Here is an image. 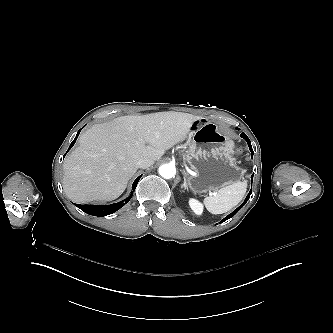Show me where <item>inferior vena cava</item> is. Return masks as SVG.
I'll return each instance as SVG.
<instances>
[{"instance_id":"inferior-vena-cava-1","label":"inferior vena cava","mask_w":333,"mask_h":333,"mask_svg":"<svg viewBox=\"0 0 333 333\" xmlns=\"http://www.w3.org/2000/svg\"><path fill=\"white\" fill-rule=\"evenodd\" d=\"M153 164H154V160H152L150 158H140L137 161L136 166H137V168L146 169V168L150 167Z\"/></svg>"}]
</instances>
